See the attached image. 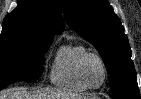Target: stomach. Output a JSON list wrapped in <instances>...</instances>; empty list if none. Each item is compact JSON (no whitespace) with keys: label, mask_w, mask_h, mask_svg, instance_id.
<instances>
[{"label":"stomach","mask_w":141,"mask_h":99,"mask_svg":"<svg viewBox=\"0 0 141 99\" xmlns=\"http://www.w3.org/2000/svg\"><path fill=\"white\" fill-rule=\"evenodd\" d=\"M77 99H90V98H77ZM92 99V98H91Z\"/></svg>","instance_id":"1"}]
</instances>
